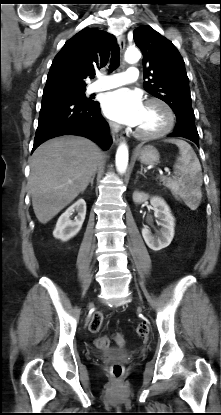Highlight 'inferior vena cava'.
Wrapping results in <instances>:
<instances>
[{
    "label": "inferior vena cava",
    "mask_w": 221,
    "mask_h": 415,
    "mask_svg": "<svg viewBox=\"0 0 221 415\" xmlns=\"http://www.w3.org/2000/svg\"><path fill=\"white\" fill-rule=\"evenodd\" d=\"M119 128H120V126L118 124H116V123H110V129L112 131L117 132L119 130Z\"/></svg>",
    "instance_id": "inferior-vena-cava-1"
}]
</instances>
